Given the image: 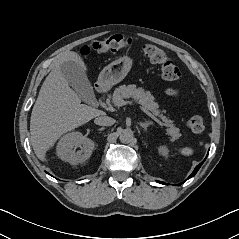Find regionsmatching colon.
Instances as JSON below:
<instances>
[{"label":"colon","instance_id":"5ec220e1","mask_svg":"<svg viewBox=\"0 0 239 239\" xmlns=\"http://www.w3.org/2000/svg\"><path fill=\"white\" fill-rule=\"evenodd\" d=\"M132 44V39L117 34L83 45L80 54L87 56L91 52L107 53L128 50ZM144 55L149 61L160 66V74L164 80L176 82L180 79L181 71L178 65L163 50L154 45H147L144 48ZM166 95L171 99H177L181 95V88L178 86L169 87L166 90ZM187 124L193 133H201L205 129V120L200 114L191 115Z\"/></svg>","mask_w":239,"mask_h":239}]
</instances>
